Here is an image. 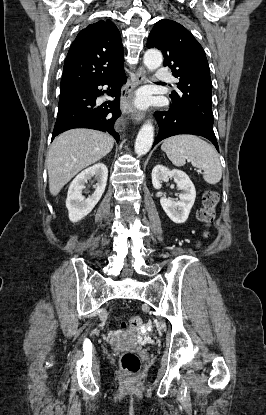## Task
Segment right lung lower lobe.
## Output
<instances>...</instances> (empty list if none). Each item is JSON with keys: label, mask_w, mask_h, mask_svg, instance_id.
I'll return each instance as SVG.
<instances>
[{"label": "right lung lower lobe", "mask_w": 266, "mask_h": 415, "mask_svg": "<svg viewBox=\"0 0 266 415\" xmlns=\"http://www.w3.org/2000/svg\"><path fill=\"white\" fill-rule=\"evenodd\" d=\"M127 78L124 69L102 80L88 82L60 91L58 115L52 138L73 128H90L108 132L119 141L115 122L120 117V90ZM107 86L102 90L100 86ZM107 93L114 100L102 105L96 99Z\"/></svg>", "instance_id": "obj_1"}]
</instances>
